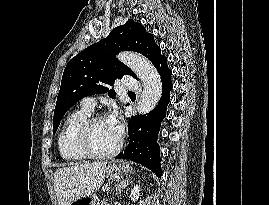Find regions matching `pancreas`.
Here are the masks:
<instances>
[{
	"label": "pancreas",
	"instance_id": "obj_1",
	"mask_svg": "<svg viewBox=\"0 0 269 205\" xmlns=\"http://www.w3.org/2000/svg\"><path fill=\"white\" fill-rule=\"evenodd\" d=\"M95 205H109L107 200H103L101 202L96 203Z\"/></svg>",
	"mask_w": 269,
	"mask_h": 205
}]
</instances>
